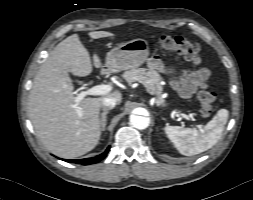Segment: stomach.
<instances>
[{
    "instance_id": "1",
    "label": "stomach",
    "mask_w": 253,
    "mask_h": 200,
    "mask_svg": "<svg viewBox=\"0 0 253 200\" xmlns=\"http://www.w3.org/2000/svg\"><path fill=\"white\" fill-rule=\"evenodd\" d=\"M149 46L144 39H134L121 43L107 53L105 67L111 72L133 69L141 66L148 57ZM168 74L174 75L175 69L168 67Z\"/></svg>"
}]
</instances>
